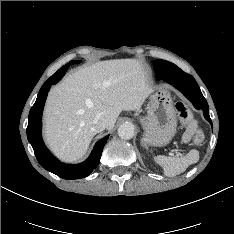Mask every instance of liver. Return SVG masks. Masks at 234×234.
<instances>
[{"label":"liver","mask_w":234,"mask_h":234,"mask_svg":"<svg viewBox=\"0 0 234 234\" xmlns=\"http://www.w3.org/2000/svg\"><path fill=\"white\" fill-rule=\"evenodd\" d=\"M151 92L136 60H107L80 68L49 92L44 110L46 143L61 160L78 161L96 134L91 129L96 116L110 130L123 110L140 108Z\"/></svg>","instance_id":"liver-1"}]
</instances>
